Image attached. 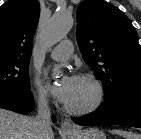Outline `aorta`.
<instances>
[{"instance_id":"obj_1","label":"aorta","mask_w":141,"mask_h":139,"mask_svg":"<svg viewBox=\"0 0 141 139\" xmlns=\"http://www.w3.org/2000/svg\"><path fill=\"white\" fill-rule=\"evenodd\" d=\"M73 17L67 13H55L46 25L42 36V44L51 47L66 37L73 26Z\"/></svg>"}]
</instances>
